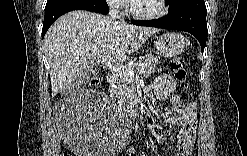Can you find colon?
Segmentation results:
<instances>
[{
    "instance_id": "obj_1",
    "label": "colon",
    "mask_w": 247,
    "mask_h": 156,
    "mask_svg": "<svg viewBox=\"0 0 247 156\" xmlns=\"http://www.w3.org/2000/svg\"><path fill=\"white\" fill-rule=\"evenodd\" d=\"M170 70L173 73L175 79L179 81L184 88L188 87V75L186 68L183 65V62L181 59H174L170 63ZM100 78L99 77H94L89 80L88 82V87L95 86L99 84Z\"/></svg>"
}]
</instances>
